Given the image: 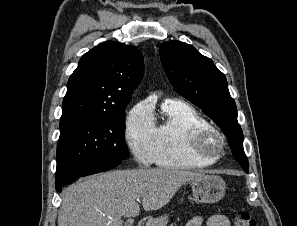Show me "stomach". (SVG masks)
Returning <instances> with one entry per match:
<instances>
[{"instance_id":"obj_1","label":"stomach","mask_w":297,"mask_h":226,"mask_svg":"<svg viewBox=\"0 0 297 226\" xmlns=\"http://www.w3.org/2000/svg\"><path fill=\"white\" fill-rule=\"evenodd\" d=\"M194 199L199 203H216L225 194L226 184L224 180L216 175H205L199 180L191 183ZM168 216L150 218L146 226H166Z\"/></svg>"}]
</instances>
